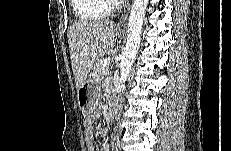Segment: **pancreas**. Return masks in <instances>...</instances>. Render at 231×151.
<instances>
[{"instance_id":"obj_1","label":"pancreas","mask_w":231,"mask_h":151,"mask_svg":"<svg viewBox=\"0 0 231 151\" xmlns=\"http://www.w3.org/2000/svg\"><path fill=\"white\" fill-rule=\"evenodd\" d=\"M101 61L103 60H98L94 65L93 78L96 82H100L104 78V75L108 72V67L102 66Z\"/></svg>"}]
</instances>
